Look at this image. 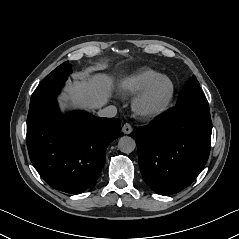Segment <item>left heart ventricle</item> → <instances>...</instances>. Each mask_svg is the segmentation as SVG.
Segmentation results:
<instances>
[{"mask_svg":"<svg viewBox=\"0 0 239 239\" xmlns=\"http://www.w3.org/2000/svg\"><path fill=\"white\" fill-rule=\"evenodd\" d=\"M168 90V84L165 81L159 82L153 89L150 98L149 103L150 104H156L159 101H161L164 96L166 95Z\"/></svg>","mask_w":239,"mask_h":239,"instance_id":"left-heart-ventricle-1","label":"left heart ventricle"}]
</instances>
